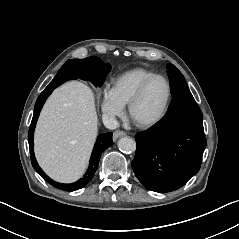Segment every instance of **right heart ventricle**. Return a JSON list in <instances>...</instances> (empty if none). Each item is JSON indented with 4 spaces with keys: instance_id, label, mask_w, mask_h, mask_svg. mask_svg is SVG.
Listing matches in <instances>:
<instances>
[{
    "instance_id": "e07e8e85",
    "label": "right heart ventricle",
    "mask_w": 239,
    "mask_h": 239,
    "mask_svg": "<svg viewBox=\"0 0 239 239\" xmlns=\"http://www.w3.org/2000/svg\"><path fill=\"white\" fill-rule=\"evenodd\" d=\"M154 75V71L144 67L127 70L113 79L111 93L123 107H126L141 84Z\"/></svg>"
}]
</instances>
